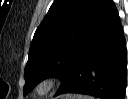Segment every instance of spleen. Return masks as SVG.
<instances>
[{
    "label": "spleen",
    "mask_w": 128,
    "mask_h": 99,
    "mask_svg": "<svg viewBox=\"0 0 128 99\" xmlns=\"http://www.w3.org/2000/svg\"><path fill=\"white\" fill-rule=\"evenodd\" d=\"M79 99H90V97H87V96H80L78 97Z\"/></svg>",
    "instance_id": "spleen-1"
}]
</instances>
